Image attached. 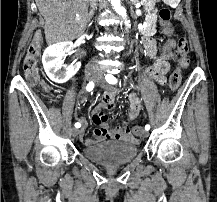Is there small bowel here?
Here are the masks:
<instances>
[{
	"label": "small bowel",
	"mask_w": 217,
	"mask_h": 202,
	"mask_svg": "<svg viewBox=\"0 0 217 202\" xmlns=\"http://www.w3.org/2000/svg\"><path fill=\"white\" fill-rule=\"evenodd\" d=\"M143 46L149 57L155 58L156 61L153 66L149 67L147 72L156 80L161 81L168 71V59L171 56L169 49L159 52L156 41L146 36L143 39ZM118 90L110 88L106 90L99 103L94 105L91 109V122L96 126L93 138H84V132L79 133V138L86 146H92L97 140H113L120 142H127L130 144H137L140 141L142 131H131L127 122H123L121 126L115 129H110L107 126V118L105 111L113 108L114 99ZM128 113L127 118L130 121L135 120L141 112V104L136 94L131 93L128 96Z\"/></svg>",
	"instance_id": "c3829d8e"
}]
</instances>
